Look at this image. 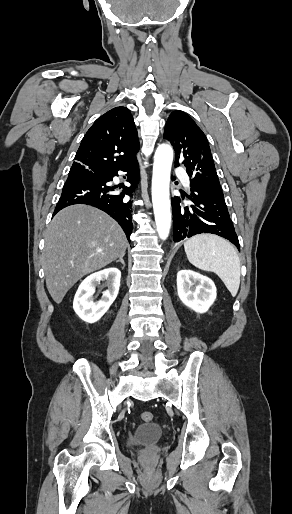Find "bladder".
<instances>
[{"instance_id": "obj_1", "label": "bladder", "mask_w": 292, "mask_h": 514, "mask_svg": "<svg viewBox=\"0 0 292 514\" xmlns=\"http://www.w3.org/2000/svg\"><path fill=\"white\" fill-rule=\"evenodd\" d=\"M163 437V430L158 423L148 422L138 425L127 437L128 446L145 445L158 442Z\"/></svg>"}]
</instances>
